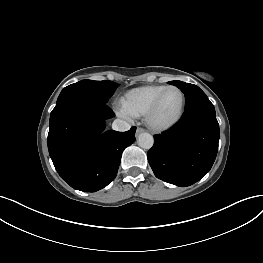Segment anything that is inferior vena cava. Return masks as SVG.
Wrapping results in <instances>:
<instances>
[{
  "instance_id": "602c4592",
  "label": "inferior vena cava",
  "mask_w": 263,
  "mask_h": 263,
  "mask_svg": "<svg viewBox=\"0 0 263 263\" xmlns=\"http://www.w3.org/2000/svg\"><path fill=\"white\" fill-rule=\"evenodd\" d=\"M130 124L122 119H115L112 123V129L115 131H128L130 129Z\"/></svg>"
}]
</instances>
